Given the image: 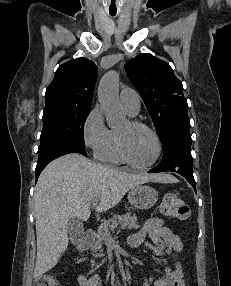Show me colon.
Returning <instances> with one entry per match:
<instances>
[{"label":"colon","mask_w":231,"mask_h":286,"mask_svg":"<svg viewBox=\"0 0 231 286\" xmlns=\"http://www.w3.org/2000/svg\"><path fill=\"white\" fill-rule=\"evenodd\" d=\"M161 211L164 215L179 219L186 220L190 216V209L187 204L176 194L167 193L161 204ZM35 286H59L57 279L52 275H43L39 277Z\"/></svg>","instance_id":"obj_1"}]
</instances>
